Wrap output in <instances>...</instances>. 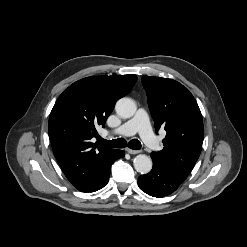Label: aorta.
<instances>
[{
	"mask_svg": "<svg viewBox=\"0 0 247 247\" xmlns=\"http://www.w3.org/2000/svg\"><path fill=\"white\" fill-rule=\"evenodd\" d=\"M115 110L120 117L131 118L135 114L137 106L134 100L124 97L117 101ZM133 165L138 173L147 174L152 169V160L147 155L139 154L134 158Z\"/></svg>",
	"mask_w": 247,
	"mask_h": 247,
	"instance_id": "762f6f07",
	"label": "aorta"
}]
</instances>
